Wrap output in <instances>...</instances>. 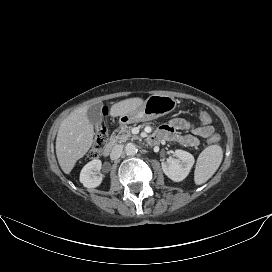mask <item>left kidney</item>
<instances>
[{
  "label": "left kidney",
  "mask_w": 272,
  "mask_h": 272,
  "mask_svg": "<svg viewBox=\"0 0 272 272\" xmlns=\"http://www.w3.org/2000/svg\"><path fill=\"white\" fill-rule=\"evenodd\" d=\"M174 154L177 159L169 157L162 163V170L168 178L180 182L187 177L195 160L192 154L184 150L177 149Z\"/></svg>",
  "instance_id": "5707ae66"
}]
</instances>
